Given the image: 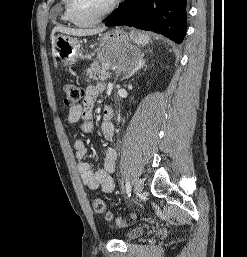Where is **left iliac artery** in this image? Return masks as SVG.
<instances>
[{
    "mask_svg": "<svg viewBox=\"0 0 247 257\" xmlns=\"http://www.w3.org/2000/svg\"><path fill=\"white\" fill-rule=\"evenodd\" d=\"M126 192L128 196L131 195V185L129 182L126 183Z\"/></svg>",
    "mask_w": 247,
    "mask_h": 257,
    "instance_id": "obj_1",
    "label": "left iliac artery"
}]
</instances>
